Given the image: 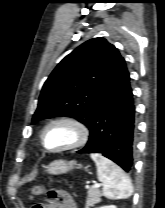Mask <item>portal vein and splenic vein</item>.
Instances as JSON below:
<instances>
[{"label": "portal vein and splenic vein", "mask_w": 165, "mask_h": 208, "mask_svg": "<svg viewBox=\"0 0 165 208\" xmlns=\"http://www.w3.org/2000/svg\"><path fill=\"white\" fill-rule=\"evenodd\" d=\"M100 186H101L100 184H94V185H93L94 188H98V187H100ZM87 188H89V186H87Z\"/></svg>", "instance_id": "portal-vein-and-splenic-vein-1"}]
</instances>
